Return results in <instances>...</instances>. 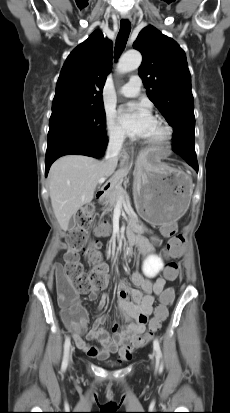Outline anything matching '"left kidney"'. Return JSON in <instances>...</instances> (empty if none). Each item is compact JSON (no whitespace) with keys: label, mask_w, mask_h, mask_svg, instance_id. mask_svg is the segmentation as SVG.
<instances>
[{"label":"left kidney","mask_w":230,"mask_h":413,"mask_svg":"<svg viewBox=\"0 0 230 413\" xmlns=\"http://www.w3.org/2000/svg\"><path fill=\"white\" fill-rule=\"evenodd\" d=\"M163 261L157 255H149L143 262L142 271L146 277L153 278L163 269Z\"/></svg>","instance_id":"obj_1"}]
</instances>
